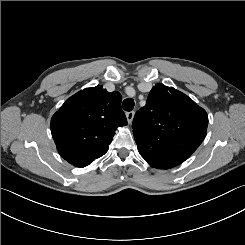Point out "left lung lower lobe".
<instances>
[{"instance_id": "1", "label": "left lung lower lobe", "mask_w": 245, "mask_h": 245, "mask_svg": "<svg viewBox=\"0 0 245 245\" xmlns=\"http://www.w3.org/2000/svg\"><path fill=\"white\" fill-rule=\"evenodd\" d=\"M150 166L158 169H169L173 168L179 164H181V159L171 155V154H165V153H159L155 154L153 156L149 157H143Z\"/></svg>"}]
</instances>
